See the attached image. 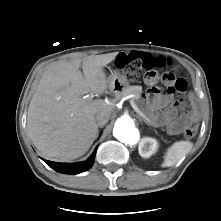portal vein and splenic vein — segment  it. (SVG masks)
<instances>
[{
    "label": "portal vein and splenic vein",
    "instance_id": "18ae733b",
    "mask_svg": "<svg viewBox=\"0 0 221 221\" xmlns=\"http://www.w3.org/2000/svg\"><path fill=\"white\" fill-rule=\"evenodd\" d=\"M130 105L135 110V112H137L139 115H141L142 117L147 119V117L139 110V108L137 107V105L133 99H130Z\"/></svg>",
    "mask_w": 221,
    "mask_h": 221
}]
</instances>
